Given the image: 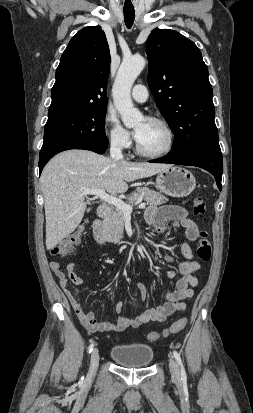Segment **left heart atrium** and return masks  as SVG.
Masks as SVG:
<instances>
[{
    "instance_id": "left-heart-atrium-1",
    "label": "left heart atrium",
    "mask_w": 253,
    "mask_h": 413,
    "mask_svg": "<svg viewBox=\"0 0 253 413\" xmlns=\"http://www.w3.org/2000/svg\"><path fill=\"white\" fill-rule=\"evenodd\" d=\"M139 133H140V131H139V130H136V131H135V138H136V139L138 138Z\"/></svg>"
}]
</instances>
